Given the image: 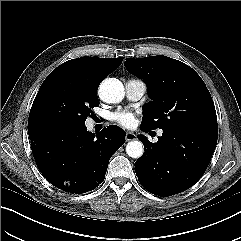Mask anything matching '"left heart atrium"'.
Instances as JSON below:
<instances>
[{"label": "left heart atrium", "mask_w": 241, "mask_h": 241, "mask_svg": "<svg viewBox=\"0 0 241 241\" xmlns=\"http://www.w3.org/2000/svg\"><path fill=\"white\" fill-rule=\"evenodd\" d=\"M112 119L123 127L130 128L135 124V116L131 112L122 111L112 115Z\"/></svg>", "instance_id": "1"}]
</instances>
